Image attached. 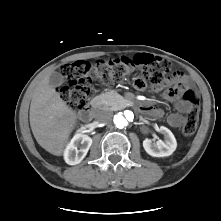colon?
<instances>
[{
    "label": "colon",
    "instance_id": "obj_1",
    "mask_svg": "<svg viewBox=\"0 0 221 221\" xmlns=\"http://www.w3.org/2000/svg\"><path fill=\"white\" fill-rule=\"evenodd\" d=\"M133 68L139 69L142 74V79L136 82L139 88L159 86L171 73L170 62L149 54H140L133 59H101L94 63L79 60L62 68L64 84L60 88V97L71 109L85 110L94 80L119 79ZM177 89L181 90V86L178 85ZM181 95L190 104L182 129L183 135L190 137L198 125L199 99L191 88L182 89Z\"/></svg>",
    "mask_w": 221,
    "mask_h": 221
}]
</instances>
